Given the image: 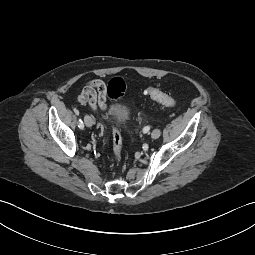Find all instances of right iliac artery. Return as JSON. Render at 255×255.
<instances>
[{
	"label": "right iliac artery",
	"mask_w": 255,
	"mask_h": 255,
	"mask_svg": "<svg viewBox=\"0 0 255 255\" xmlns=\"http://www.w3.org/2000/svg\"><path fill=\"white\" fill-rule=\"evenodd\" d=\"M78 127H79L80 129H83V128H84V124H83V121H82L81 119H79V121H78Z\"/></svg>",
	"instance_id": "82829eb1"
}]
</instances>
